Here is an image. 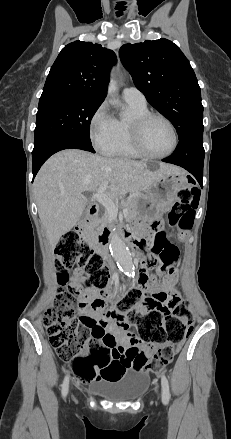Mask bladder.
<instances>
[{
    "instance_id": "31cf9c89",
    "label": "bladder",
    "mask_w": 231,
    "mask_h": 439,
    "mask_svg": "<svg viewBox=\"0 0 231 439\" xmlns=\"http://www.w3.org/2000/svg\"><path fill=\"white\" fill-rule=\"evenodd\" d=\"M148 386V375L140 369L130 368L120 381L93 386L100 396L113 400H131L140 396Z\"/></svg>"
}]
</instances>
